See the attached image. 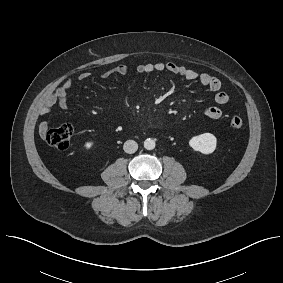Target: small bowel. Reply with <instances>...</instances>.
Segmentation results:
<instances>
[{
	"label": "small bowel",
	"instance_id": "small-bowel-1",
	"mask_svg": "<svg viewBox=\"0 0 283 283\" xmlns=\"http://www.w3.org/2000/svg\"><path fill=\"white\" fill-rule=\"evenodd\" d=\"M130 71V67L126 64L116 66L110 70L102 73L101 77L103 79L110 78L114 75H125ZM136 71L140 74H150L154 72H168L170 74L179 76L187 81H196L201 85L207 87L209 90L215 92V103L216 105L208 106L204 114L210 119H219L222 117L221 106L225 105L229 101V96L225 91L221 90V81L210 74L199 73L189 67L178 65L172 62H156V63H144L137 66ZM90 74L88 72H83L78 76L79 81H85L88 79ZM72 89V81L70 79L66 80L62 85H60L55 92H53L44 102L42 107L39 109V116L44 117L53 109L55 105H59L63 109L69 107L68 93ZM48 124L45 120L40 121L39 131L41 134H45L47 131Z\"/></svg>",
	"mask_w": 283,
	"mask_h": 283
}]
</instances>
